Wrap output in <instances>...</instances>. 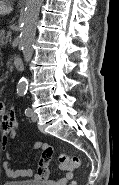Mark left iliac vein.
Here are the masks:
<instances>
[{
	"label": "left iliac vein",
	"mask_w": 119,
	"mask_h": 185,
	"mask_svg": "<svg viewBox=\"0 0 119 185\" xmlns=\"http://www.w3.org/2000/svg\"><path fill=\"white\" fill-rule=\"evenodd\" d=\"M30 117L33 122H36L38 120V116L33 110L30 111Z\"/></svg>",
	"instance_id": "left-iliac-vein-1"
}]
</instances>
